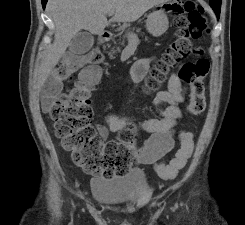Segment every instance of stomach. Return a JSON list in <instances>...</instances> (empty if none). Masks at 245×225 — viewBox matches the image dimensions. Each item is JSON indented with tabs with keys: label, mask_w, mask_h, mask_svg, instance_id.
<instances>
[{
	"label": "stomach",
	"mask_w": 245,
	"mask_h": 225,
	"mask_svg": "<svg viewBox=\"0 0 245 225\" xmlns=\"http://www.w3.org/2000/svg\"><path fill=\"white\" fill-rule=\"evenodd\" d=\"M169 28L166 6L158 5L147 17L146 29L153 37H160Z\"/></svg>",
	"instance_id": "0dacf381"
}]
</instances>
